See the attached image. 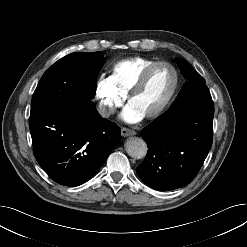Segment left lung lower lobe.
I'll list each match as a JSON object with an SVG mask.
<instances>
[{
    "label": "left lung lower lobe",
    "instance_id": "0a47b994",
    "mask_svg": "<svg viewBox=\"0 0 247 247\" xmlns=\"http://www.w3.org/2000/svg\"><path fill=\"white\" fill-rule=\"evenodd\" d=\"M214 104L204 86L142 129L148 153L140 179L159 191L181 188L199 172L212 146Z\"/></svg>",
    "mask_w": 247,
    "mask_h": 247
}]
</instances>
